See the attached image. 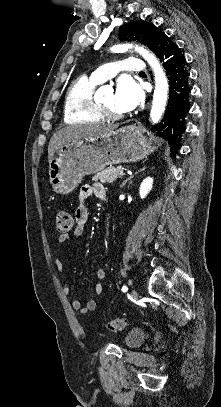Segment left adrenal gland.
<instances>
[{
	"instance_id": "1",
	"label": "left adrenal gland",
	"mask_w": 221,
	"mask_h": 407,
	"mask_svg": "<svg viewBox=\"0 0 221 407\" xmlns=\"http://www.w3.org/2000/svg\"><path fill=\"white\" fill-rule=\"evenodd\" d=\"M143 170H145V167H143L142 169L138 170L134 175H132V176H130L129 178H127L126 180H124V181L122 182V184L120 185V188H123V187L126 185V183H127L128 181H130L135 175H137L139 172H141V171H143Z\"/></svg>"
}]
</instances>
